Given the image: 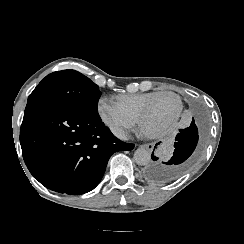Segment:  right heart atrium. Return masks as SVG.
Returning <instances> with one entry per match:
<instances>
[{
  "label": "right heart atrium",
  "instance_id": "d8ad5b80",
  "mask_svg": "<svg viewBox=\"0 0 244 244\" xmlns=\"http://www.w3.org/2000/svg\"><path fill=\"white\" fill-rule=\"evenodd\" d=\"M98 112L104 123L115 134H122L136 123V111L129 104L118 106L108 100H102Z\"/></svg>",
  "mask_w": 244,
  "mask_h": 244
}]
</instances>
